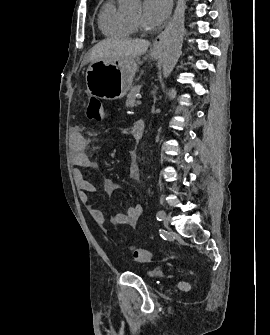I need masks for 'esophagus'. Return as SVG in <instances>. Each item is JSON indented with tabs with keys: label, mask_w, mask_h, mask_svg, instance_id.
<instances>
[{
	"label": "esophagus",
	"mask_w": 270,
	"mask_h": 335,
	"mask_svg": "<svg viewBox=\"0 0 270 335\" xmlns=\"http://www.w3.org/2000/svg\"><path fill=\"white\" fill-rule=\"evenodd\" d=\"M172 8H173V0H168V11H167V16H166V22L164 24L163 30L157 35L153 42V49L154 50H160L163 48L164 43H165V38L167 34V26H168V21L170 19L171 13H172Z\"/></svg>",
	"instance_id": "34e87169"
}]
</instances>
